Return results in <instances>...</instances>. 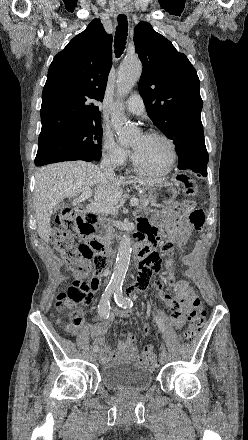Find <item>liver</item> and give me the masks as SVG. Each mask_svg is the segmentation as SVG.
<instances>
[{"mask_svg": "<svg viewBox=\"0 0 248 440\" xmlns=\"http://www.w3.org/2000/svg\"><path fill=\"white\" fill-rule=\"evenodd\" d=\"M161 179H125L115 174L108 175L98 166L84 161H67L41 167L36 173L34 211L37 231L41 239L48 242L51 236L50 218L56 206L67 197L82 195L85 189L94 187L95 202L116 205L123 190L121 185L139 183L151 185ZM92 195V190H91Z\"/></svg>", "mask_w": 248, "mask_h": 440, "instance_id": "obj_1", "label": "liver"}]
</instances>
